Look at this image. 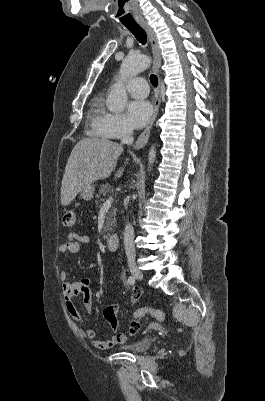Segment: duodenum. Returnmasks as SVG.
Wrapping results in <instances>:
<instances>
[{
    "label": "duodenum",
    "mask_w": 265,
    "mask_h": 401,
    "mask_svg": "<svg viewBox=\"0 0 265 401\" xmlns=\"http://www.w3.org/2000/svg\"><path fill=\"white\" fill-rule=\"evenodd\" d=\"M119 239L118 236L113 234L107 237L106 247L109 251L114 252L118 249Z\"/></svg>",
    "instance_id": "1"
}]
</instances>
